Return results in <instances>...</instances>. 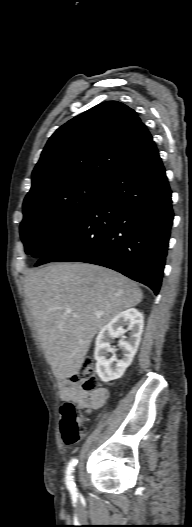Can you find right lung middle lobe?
Returning a JSON list of instances; mask_svg holds the SVG:
<instances>
[{"label": "right lung middle lobe", "instance_id": "obj_1", "mask_svg": "<svg viewBox=\"0 0 192 527\" xmlns=\"http://www.w3.org/2000/svg\"><path fill=\"white\" fill-rule=\"evenodd\" d=\"M105 184L84 180L24 201L20 235L25 252L41 258L87 212Z\"/></svg>", "mask_w": 192, "mask_h": 527}]
</instances>
